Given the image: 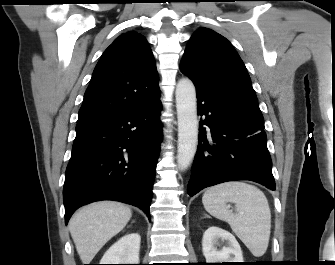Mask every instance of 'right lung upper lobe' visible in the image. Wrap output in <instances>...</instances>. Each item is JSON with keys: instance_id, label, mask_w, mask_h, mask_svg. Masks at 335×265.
Wrapping results in <instances>:
<instances>
[{"instance_id": "obj_1", "label": "right lung upper lobe", "mask_w": 335, "mask_h": 265, "mask_svg": "<svg viewBox=\"0 0 335 265\" xmlns=\"http://www.w3.org/2000/svg\"><path fill=\"white\" fill-rule=\"evenodd\" d=\"M159 98L153 53L145 37L131 31L119 36L97 63L77 123L142 108Z\"/></svg>"}]
</instances>
